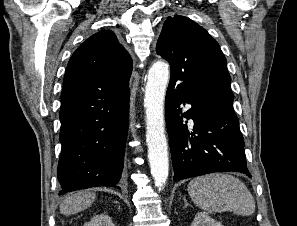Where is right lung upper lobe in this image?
I'll return each mask as SVG.
<instances>
[{"label":"right lung upper lobe","mask_w":297,"mask_h":226,"mask_svg":"<svg viewBox=\"0 0 297 226\" xmlns=\"http://www.w3.org/2000/svg\"><path fill=\"white\" fill-rule=\"evenodd\" d=\"M132 59L110 30L89 37L73 53L64 76L62 100L93 91L128 87Z\"/></svg>","instance_id":"obj_1"}]
</instances>
